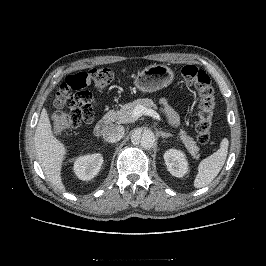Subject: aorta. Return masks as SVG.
<instances>
[{"instance_id":"aorta-1","label":"aorta","mask_w":266,"mask_h":266,"mask_svg":"<svg viewBox=\"0 0 266 266\" xmlns=\"http://www.w3.org/2000/svg\"><path fill=\"white\" fill-rule=\"evenodd\" d=\"M155 134L153 131L136 129L131 135V141L135 145H140L144 149H150L155 144Z\"/></svg>"}]
</instances>
